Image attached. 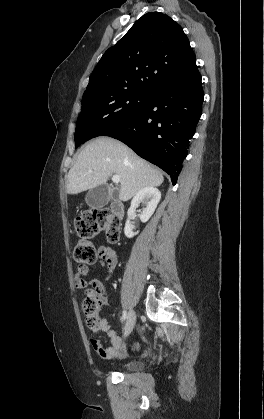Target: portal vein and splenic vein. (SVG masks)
Listing matches in <instances>:
<instances>
[{
  "mask_svg": "<svg viewBox=\"0 0 264 419\" xmlns=\"http://www.w3.org/2000/svg\"><path fill=\"white\" fill-rule=\"evenodd\" d=\"M112 181H113L114 183L118 184V183L120 182V177H119L118 175H114V176L112 177Z\"/></svg>",
  "mask_w": 264,
  "mask_h": 419,
  "instance_id": "18ae733b",
  "label": "portal vein and splenic vein"
}]
</instances>
